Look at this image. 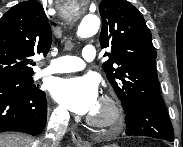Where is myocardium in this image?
I'll return each mask as SVG.
<instances>
[{
    "mask_svg": "<svg viewBox=\"0 0 183 147\" xmlns=\"http://www.w3.org/2000/svg\"><path fill=\"white\" fill-rule=\"evenodd\" d=\"M99 103L106 108L105 117H98L93 114L87 116V123L96 128H109L121 125L124 121V112L120 102L111 95H103Z\"/></svg>",
    "mask_w": 183,
    "mask_h": 147,
    "instance_id": "myocardium-1",
    "label": "myocardium"
}]
</instances>
